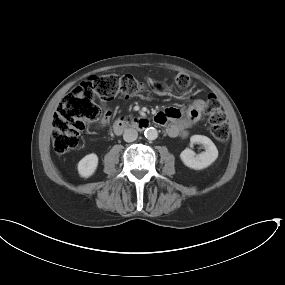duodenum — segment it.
I'll return each instance as SVG.
<instances>
[{
	"label": "duodenum",
	"instance_id": "obj_1",
	"mask_svg": "<svg viewBox=\"0 0 285 285\" xmlns=\"http://www.w3.org/2000/svg\"><path fill=\"white\" fill-rule=\"evenodd\" d=\"M150 126V122L146 118L127 119L121 118L114 122L112 131L116 135H120L124 130L132 128L137 131L146 130Z\"/></svg>",
	"mask_w": 285,
	"mask_h": 285
}]
</instances>
